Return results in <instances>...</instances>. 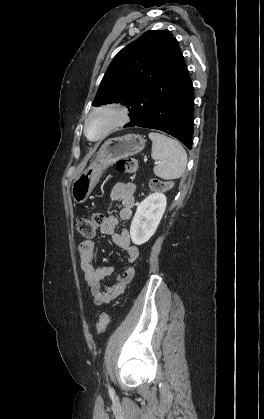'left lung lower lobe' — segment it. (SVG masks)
Listing matches in <instances>:
<instances>
[{
	"instance_id": "left-lung-lower-lobe-1",
	"label": "left lung lower lobe",
	"mask_w": 264,
	"mask_h": 419,
	"mask_svg": "<svg viewBox=\"0 0 264 419\" xmlns=\"http://www.w3.org/2000/svg\"><path fill=\"white\" fill-rule=\"evenodd\" d=\"M143 98V101L131 108V122L125 127L161 130L191 149L194 92L182 53L175 73L166 81L154 83Z\"/></svg>"
}]
</instances>
